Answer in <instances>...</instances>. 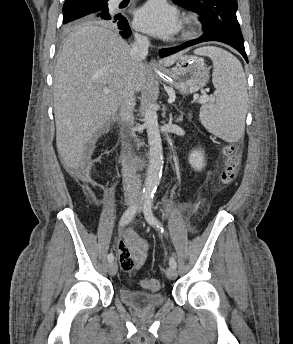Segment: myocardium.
I'll return each instance as SVG.
<instances>
[{
  "label": "myocardium",
  "mask_w": 293,
  "mask_h": 344,
  "mask_svg": "<svg viewBox=\"0 0 293 344\" xmlns=\"http://www.w3.org/2000/svg\"><path fill=\"white\" fill-rule=\"evenodd\" d=\"M198 20L194 16H189L184 22V27L181 33L182 39H189L197 34Z\"/></svg>",
  "instance_id": "1"
}]
</instances>
